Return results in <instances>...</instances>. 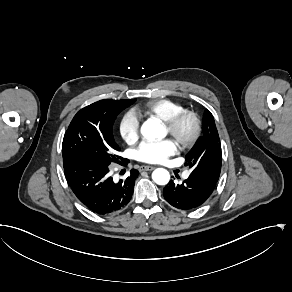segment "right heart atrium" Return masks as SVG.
I'll return each instance as SVG.
<instances>
[{"label":"right heart atrium","instance_id":"right-heart-atrium-1","mask_svg":"<svg viewBox=\"0 0 292 292\" xmlns=\"http://www.w3.org/2000/svg\"><path fill=\"white\" fill-rule=\"evenodd\" d=\"M120 137L128 144L134 145L140 137V118L134 109L122 113L118 123Z\"/></svg>","mask_w":292,"mask_h":292}]
</instances>
